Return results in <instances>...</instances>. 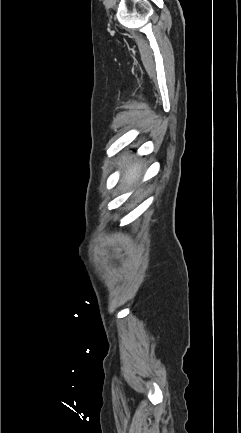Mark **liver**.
<instances>
[{
    "label": "liver",
    "instance_id": "1",
    "mask_svg": "<svg viewBox=\"0 0 241 433\" xmlns=\"http://www.w3.org/2000/svg\"><path fill=\"white\" fill-rule=\"evenodd\" d=\"M139 176H140L139 163H130L129 165H127L126 171L123 175V181L130 186L138 180Z\"/></svg>",
    "mask_w": 241,
    "mask_h": 433
}]
</instances>
